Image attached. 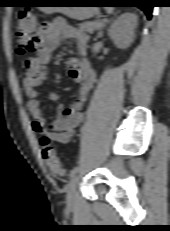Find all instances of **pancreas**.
Wrapping results in <instances>:
<instances>
[{"label": "pancreas", "mask_w": 170, "mask_h": 231, "mask_svg": "<svg viewBox=\"0 0 170 231\" xmlns=\"http://www.w3.org/2000/svg\"><path fill=\"white\" fill-rule=\"evenodd\" d=\"M78 26L81 31L92 34L95 30H98L102 27V22L98 20L94 22H84L78 24Z\"/></svg>", "instance_id": "cf45deb5"}]
</instances>
